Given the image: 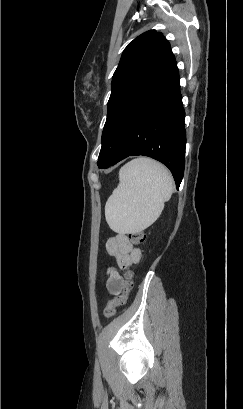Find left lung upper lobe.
I'll return each instance as SVG.
<instances>
[{"label": "left lung upper lobe", "mask_w": 243, "mask_h": 409, "mask_svg": "<svg viewBox=\"0 0 243 409\" xmlns=\"http://www.w3.org/2000/svg\"><path fill=\"white\" fill-rule=\"evenodd\" d=\"M172 55L169 42L162 33L155 30L141 34L123 51L112 78V92L98 158L99 166L108 165L113 160L117 130L122 118L150 79Z\"/></svg>", "instance_id": "1"}]
</instances>
